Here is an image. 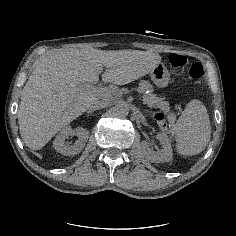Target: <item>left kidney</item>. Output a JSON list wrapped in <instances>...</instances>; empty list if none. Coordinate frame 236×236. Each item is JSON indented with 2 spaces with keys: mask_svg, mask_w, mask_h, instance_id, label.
Masks as SVG:
<instances>
[{
  "mask_svg": "<svg viewBox=\"0 0 236 236\" xmlns=\"http://www.w3.org/2000/svg\"><path fill=\"white\" fill-rule=\"evenodd\" d=\"M157 138L159 139L161 144V147L157 151H152L146 141H143L141 143V149L145 155V158L156 163L171 161L172 149L166 135L163 133H158Z\"/></svg>",
  "mask_w": 236,
  "mask_h": 236,
  "instance_id": "1",
  "label": "left kidney"
}]
</instances>
